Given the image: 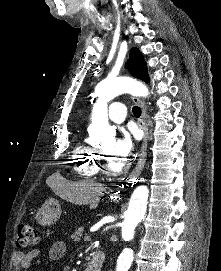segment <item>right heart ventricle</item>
I'll return each instance as SVG.
<instances>
[{"mask_svg":"<svg viewBox=\"0 0 221 271\" xmlns=\"http://www.w3.org/2000/svg\"><path fill=\"white\" fill-rule=\"evenodd\" d=\"M75 157L71 160L73 164H83L82 166H76L79 176H97L99 169L95 161L85 158V154H77Z\"/></svg>","mask_w":221,"mask_h":271,"instance_id":"obj_1","label":"right heart ventricle"}]
</instances>
